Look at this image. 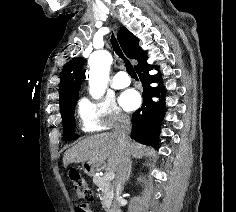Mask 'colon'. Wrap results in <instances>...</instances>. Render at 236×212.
<instances>
[{"mask_svg": "<svg viewBox=\"0 0 236 212\" xmlns=\"http://www.w3.org/2000/svg\"><path fill=\"white\" fill-rule=\"evenodd\" d=\"M69 178L72 183L74 192L79 198L91 201L93 198L92 192L85 180V178L77 171L71 170L69 172ZM85 205V204H81Z\"/></svg>", "mask_w": 236, "mask_h": 212, "instance_id": "5ec220e1", "label": "colon"}]
</instances>
